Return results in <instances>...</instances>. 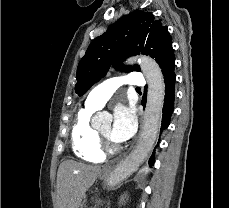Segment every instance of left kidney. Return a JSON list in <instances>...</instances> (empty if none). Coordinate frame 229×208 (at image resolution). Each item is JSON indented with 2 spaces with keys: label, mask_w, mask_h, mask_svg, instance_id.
<instances>
[{
  "label": "left kidney",
  "mask_w": 229,
  "mask_h": 208,
  "mask_svg": "<svg viewBox=\"0 0 229 208\" xmlns=\"http://www.w3.org/2000/svg\"><path fill=\"white\" fill-rule=\"evenodd\" d=\"M124 200H125V198H124V196H122V198H120V200H119V204H123Z\"/></svg>",
  "instance_id": "1"
}]
</instances>
